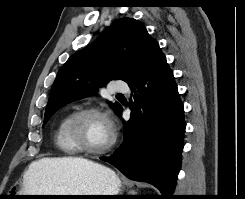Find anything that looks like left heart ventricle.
<instances>
[{"mask_svg":"<svg viewBox=\"0 0 245 199\" xmlns=\"http://www.w3.org/2000/svg\"><path fill=\"white\" fill-rule=\"evenodd\" d=\"M75 138L93 149L104 147L111 138L109 123L101 116H87L79 122Z\"/></svg>","mask_w":245,"mask_h":199,"instance_id":"left-heart-ventricle-1","label":"left heart ventricle"}]
</instances>
